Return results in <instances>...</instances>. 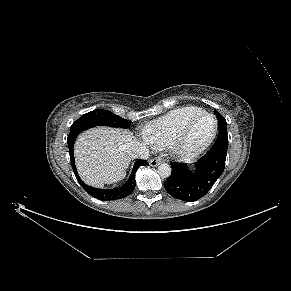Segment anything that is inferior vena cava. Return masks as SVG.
Returning <instances> with one entry per match:
<instances>
[{"label": "inferior vena cava", "mask_w": 291, "mask_h": 291, "mask_svg": "<svg viewBox=\"0 0 291 291\" xmlns=\"http://www.w3.org/2000/svg\"><path fill=\"white\" fill-rule=\"evenodd\" d=\"M128 150L133 158L148 159L149 157V149L145 144H142L140 142L132 141L129 144Z\"/></svg>", "instance_id": "inferior-vena-cava-1"}]
</instances>
